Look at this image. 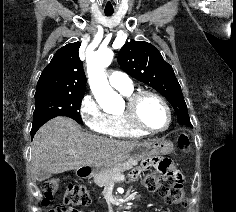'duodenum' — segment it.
Returning <instances> with one entry per match:
<instances>
[{"label": "duodenum", "mask_w": 236, "mask_h": 212, "mask_svg": "<svg viewBox=\"0 0 236 212\" xmlns=\"http://www.w3.org/2000/svg\"><path fill=\"white\" fill-rule=\"evenodd\" d=\"M80 173H81L82 176H87V175L90 174V171L89 170H81ZM126 200H127V198H124L120 204L123 205Z\"/></svg>", "instance_id": "duodenum-1"}]
</instances>
